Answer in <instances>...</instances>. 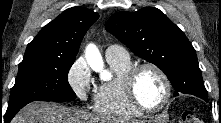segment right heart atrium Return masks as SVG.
<instances>
[{
	"mask_svg": "<svg viewBox=\"0 0 221 123\" xmlns=\"http://www.w3.org/2000/svg\"><path fill=\"white\" fill-rule=\"evenodd\" d=\"M67 82L74 94L86 102L91 91V74L82 59H77L69 68Z\"/></svg>",
	"mask_w": 221,
	"mask_h": 123,
	"instance_id": "d8ad5b80",
	"label": "right heart atrium"
}]
</instances>
